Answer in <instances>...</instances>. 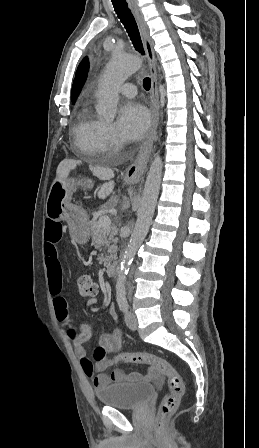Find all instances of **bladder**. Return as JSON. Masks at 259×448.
<instances>
[{"label":"bladder","instance_id":"1","mask_svg":"<svg viewBox=\"0 0 259 448\" xmlns=\"http://www.w3.org/2000/svg\"><path fill=\"white\" fill-rule=\"evenodd\" d=\"M149 383H117L96 390L97 400L104 406L119 409H139L154 395Z\"/></svg>","mask_w":259,"mask_h":448}]
</instances>
